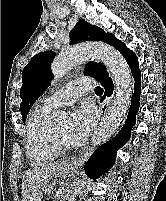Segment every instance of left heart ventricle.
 Returning a JSON list of instances; mask_svg holds the SVG:
<instances>
[{
  "mask_svg": "<svg viewBox=\"0 0 166 201\" xmlns=\"http://www.w3.org/2000/svg\"><path fill=\"white\" fill-rule=\"evenodd\" d=\"M68 121H61L56 123L54 126L56 127L57 131L59 132V134L68 142L69 138H68Z\"/></svg>",
  "mask_w": 166,
  "mask_h": 201,
  "instance_id": "left-heart-ventricle-1",
  "label": "left heart ventricle"
}]
</instances>
